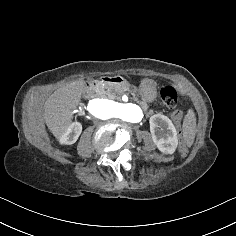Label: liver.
I'll return each mask as SVG.
<instances>
[{
	"mask_svg": "<svg viewBox=\"0 0 236 236\" xmlns=\"http://www.w3.org/2000/svg\"><path fill=\"white\" fill-rule=\"evenodd\" d=\"M87 88L84 79L70 82L56 89L43 103V120L55 139L62 137L70 128L74 110L80 105Z\"/></svg>",
	"mask_w": 236,
	"mask_h": 236,
	"instance_id": "6515ba94",
	"label": "liver"
}]
</instances>
